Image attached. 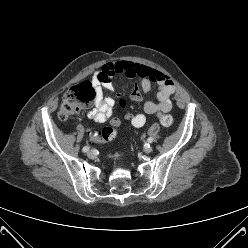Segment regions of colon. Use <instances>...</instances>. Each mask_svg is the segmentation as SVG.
<instances>
[{
    "instance_id": "1",
    "label": "colon",
    "mask_w": 248,
    "mask_h": 248,
    "mask_svg": "<svg viewBox=\"0 0 248 248\" xmlns=\"http://www.w3.org/2000/svg\"><path fill=\"white\" fill-rule=\"evenodd\" d=\"M97 97V90L94 85L89 81H82L74 86H72L64 95L58 117L61 120H67L72 115L80 112L84 106H87L95 101ZM127 98L121 96L120 102L125 104ZM122 117L127 122H132L134 120L133 108L130 105H125L123 107ZM160 122L163 126H171L173 124V117L169 114H160ZM120 125L119 118H113L111 120L112 127H106L103 129L102 134L95 131L91 136V141L93 143L108 144L113 140L116 130L115 128Z\"/></svg>"
}]
</instances>
